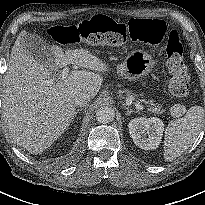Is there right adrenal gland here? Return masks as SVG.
<instances>
[{
  "label": "right adrenal gland",
  "instance_id": "1",
  "mask_svg": "<svg viewBox=\"0 0 205 205\" xmlns=\"http://www.w3.org/2000/svg\"><path fill=\"white\" fill-rule=\"evenodd\" d=\"M82 109L80 108V109H77V111H76V113H75V116H74V119L77 117V114L81 111ZM74 119H73V121H74Z\"/></svg>",
  "mask_w": 205,
  "mask_h": 205
}]
</instances>
